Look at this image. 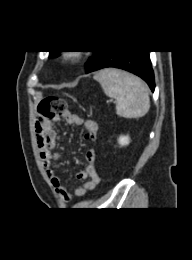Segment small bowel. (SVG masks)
<instances>
[{
    "label": "small bowel",
    "mask_w": 192,
    "mask_h": 260,
    "mask_svg": "<svg viewBox=\"0 0 192 260\" xmlns=\"http://www.w3.org/2000/svg\"><path fill=\"white\" fill-rule=\"evenodd\" d=\"M63 118L70 124L83 125L86 133L90 134L91 139L96 138L98 125L95 121L90 119L83 121L79 115L71 112ZM58 119L60 118L54 120ZM35 129L40 157L46 173L59 197L64 202H70L72 199L71 193L69 192L68 187L62 182L53 166V163L60 158L59 152L55 149L57 134L53 127V120H38ZM85 160V169L77 173V179L84 181V183L74 189L75 195L79 197H83L87 192L94 190L100 181L95 164L96 153L93 149H89L86 152Z\"/></svg>",
    "instance_id": "obj_1"
}]
</instances>
